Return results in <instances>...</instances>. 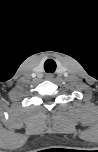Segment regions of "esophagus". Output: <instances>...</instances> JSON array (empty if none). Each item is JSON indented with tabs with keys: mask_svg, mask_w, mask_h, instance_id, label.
<instances>
[{
	"mask_svg": "<svg viewBox=\"0 0 98 152\" xmlns=\"http://www.w3.org/2000/svg\"><path fill=\"white\" fill-rule=\"evenodd\" d=\"M53 77V75L51 73H47L46 74V79L51 80Z\"/></svg>",
	"mask_w": 98,
	"mask_h": 152,
	"instance_id": "34e87169",
	"label": "esophagus"
}]
</instances>
